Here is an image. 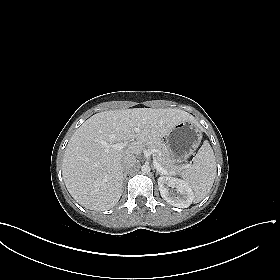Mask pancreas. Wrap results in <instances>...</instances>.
Wrapping results in <instances>:
<instances>
[{
    "label": "pancreas",
    "instance_id": "cf45deb5",
    "mask_svg": "<svg viewBox=\"0 0 280 280\" xmlns=\"http://www.w3.org/2000/svg\"><path fill=\"white\" fill-rule=\"evenodd\" d=\"M148 147L150 150L154 151L153 153L154 158L171 175L183 173L182 170H184L186 166L177 164L176 159L174 158V156L172 155V153L164 143L158 142Z\"/></svg>",
    "mask_w": 280,
    "mask_h": 280
}]
</instances>
